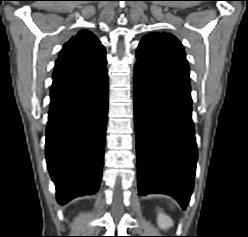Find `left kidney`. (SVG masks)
<instances>
[{
	"instance_id": "left-kidney-1",
	"label": "left kidney",
	"mask_w": 248,
	"mask_h": 237,
	"mask_svg": "<svg viewBox=\"0 0 248 237\" xmlns=\"http://www.w3.org/2000/svg\"><path fill=\"white\" fill-rule=\"evenodd\" d=\"M157 223H158V226L163 230H166L173 226V220L162 212L158 213Z\"/></svg>"
}]
</instances>
